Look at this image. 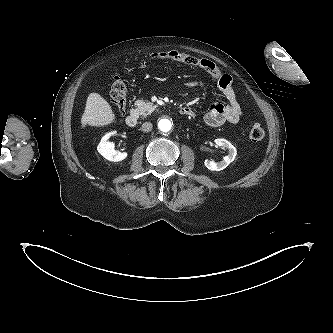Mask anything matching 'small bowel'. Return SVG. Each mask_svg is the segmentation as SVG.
I'll return each instance as SVG.
<instances>
[{
	"instance_id": "small-bowel-1",
	"label": "small bowel",
	"mask_w": 333,
	"mask_h": 333,
	"mask_svg": "<svg viewBox=\"0 0 333 333\" xmlns=\"http://www.w3.org/2000/svg\"><path fill=\"white\" fill-rule=\"evenodd\" d=\"M200 83V81H189L187 82V85L192 87L197 86ZM218 86L224 94L226 103H214L210 105L204 116V122L212 127L220 126L225 122H239L243 113L233 90L230 76L223 75L222 78L218 79ZM184 114L191 117L194 116V112L189 108H185Z\"/></svg>"
}]
</instances>
